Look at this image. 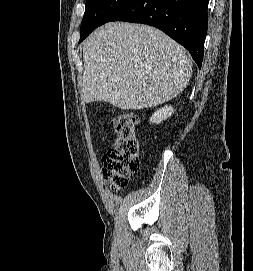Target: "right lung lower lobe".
I'll return each instance as SVG.
<instances>
[{
	"mask_svg": "<svg viewBox=\"0 0 253 271\" xmlns=\"http://www.w3.org/2000/svg\"><path fill=\"white\" fill-rule=\"evenodd\" d=\"M207 10L208 0H131L111 21L157 27L183 45L201 68L208 27Z\"/></svg>",
	"mask_w": 253,
	"mask_h": 271,
	"instance_id": "obj_1",
	"label": "right lung lower lobe"
}]
</instances>
